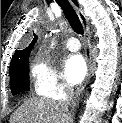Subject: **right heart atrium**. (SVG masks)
<instances>
[{
	"label": "right heart atrium",
	"mask_w": 122,
	"mask_h": 123,
	"mask_svg": "<svg viewBox=\"0 0 122 123\" xmlns=\"http://www.w3.org/2000/svg\"><path fill=\"white\" fill-rule=\"evenodd\" d=\"M31 76L34 90L40 96L60 99L72 91L63 74L48 58L39 56L32 61Z\"/></svg>",
	"instance_id": "obj_1"
}]
</instances>
